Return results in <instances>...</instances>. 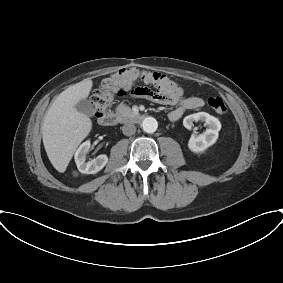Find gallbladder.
I'll list each match as a JSON object with an SVG mask.
<instances>
[{"label":"gallbladder","instance_id":"1","mask_svg":"<svg viewBox=\"0 0 283 283\" xmlns=\"http://www.w3.org/2000/svg\"><path fill=\"white\" fill-rule=\"evenodd\" d=\"M75 109L87 116H92L95 112L93 104L87 99H82L75 105Z\"/></svg>","mask_w":283,"mask_h":283}]
</instances>
